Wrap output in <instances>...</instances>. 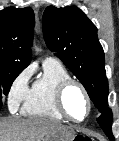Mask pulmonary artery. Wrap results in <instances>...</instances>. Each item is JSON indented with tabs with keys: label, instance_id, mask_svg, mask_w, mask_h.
<instances>
[{
	"label": "pulmonary artery",
	"instance_id": "obj_1",
	"mask_svg": "<svg viewBox=\"0 0 119 141\" xmlns=\"http://www.w3.org/2000/svg\"><path fill=\"white\" fill-rule=\"evenodd\" d=\"M46 60H55V59H53V58H48V59H46Z\"/></svg>",
	"mask_w": 119,
	"mask_h": 141
}]
</instances>
